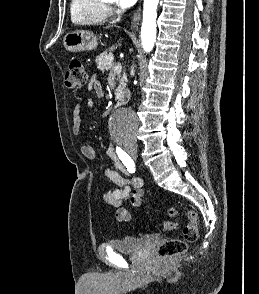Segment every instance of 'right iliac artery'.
<instances>
[{"instance_id": "1", "label": "right iliac artery", "mask_w": 259, "mask_h": 294, "mask_svg": "<svg viewBox=\"0 0 259 294\" xmlns=\"http://www.w3.org/2000/svg\"><path fill=\"white\" fill-rule=\"evenodd\" d=\"M116 152H117L119 158L121 159V161L123 162V164L127 167L128 171L130 173H134L135 172V163H134L133 159L125 151H123L120 147L116 148Z\"/></svg>"}]
</instances>
